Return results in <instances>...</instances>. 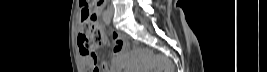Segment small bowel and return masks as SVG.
<instances>
[{"instance_id":"1","label":"small bowel","mask_w":267,"mask_h":72,"mask_svg":"<svg viewBox=\"0 0 267 72\" xmlns=\"http://www.w3.org/2000/svg\"><path fill=\"white\" fill-rule=\"evenodd\" d=\"M100 10V6H98V11ZM113 42H114V47H113V57H116L122 47H123V39L120 35L114 33L113 36ZM96 53H92L90 55L85 54V56H82V61L86 66H90L92 68V72H100V69L95 67L94 65L96 64ZM103 71H108L105 67H103Z\"/></svg>"}]
</instances>
